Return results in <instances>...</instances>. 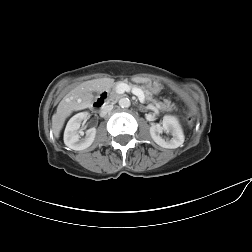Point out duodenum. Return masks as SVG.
<instances>
[{"label": "duodenum", "instance_id": "1", "mask_svg": "<svg viewBox=\"0 0 252 252\" xmlns=\"http://www.w3.org/2000/svg\"><path fill=\"white\" fill-rule=\"evenodd\" d=\"M108 97H109L108 92L101 93V95L92 104L93 110L98 111V110L102 109L103 106L105 105Z\"/></svg>", "mask_w": 252, "mask_h": 252}]
</instances>
